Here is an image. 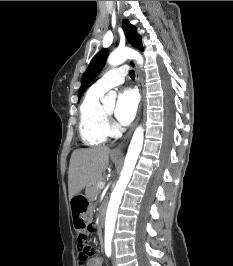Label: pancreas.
I'll return each mask as SVG.
<instances>
[{
	"mask_svg": "<svg viewBox=\"0 0 233 266\" xmlns=\"http://www.w3.org/2000/svg\"><path fill=\"white\" fill-rule=\"evenodd\" d=\"M102 180V178H98L96 181H94L91 185H89L86 188V194L87 196L92 199L96 200L98 198V195L100 193L98 183Z\"/></svg>",
	"mask_w": 233,
	"mask_h": 266,
	"instance_id": "cf45deb5",
	"label": "pancreas"
}]
</instances>
